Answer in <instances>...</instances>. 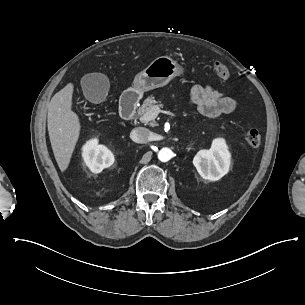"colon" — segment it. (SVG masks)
I'll return each mask as SVG.
<instances>
[{
    "instance_id": "obj_1",
    "label": "colon",
    "mask_w": 305,
    "mask_h": 305,
    "mask_svg": "<svg viewBox=\"0 0 305 305\" xmlns=\"http://www.w3.org/2000/svg\"><path fill=\"white\" fill-rule=\"evenodd\" d=\"M214 72L216 77L222 82L229 81L231 77L229 68L220 61L214 63ZM244 139L252 147H258L261 144V134L256 129H251L245 132Z\"/></svg>"
}]
</instances>
